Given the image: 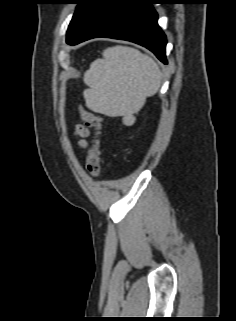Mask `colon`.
I'll list each match as a JSON object with an SVG mask.
<instances>
[{"mask_svg": "<svg viewBox=\"0 0 236 321\" xmlns=\"http://www.w3.org/2000/svg\"><path fill=\"white\" fill-rule=\"evenodd\" d=\"M80 116L88 126L95 130L92 147L86 160V169L90 175L97 177L100 173L102 117L86 110H81Z\"/></svg>", "mask_w": 236, "mask_h": 321, "instance_id": "5ec220e1", "label": "colon"}]
</instances>
